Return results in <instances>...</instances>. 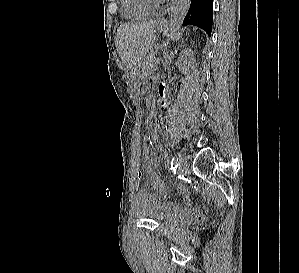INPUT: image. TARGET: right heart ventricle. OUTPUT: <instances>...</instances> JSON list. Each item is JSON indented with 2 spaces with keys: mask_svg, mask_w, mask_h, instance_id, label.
<instances>
[{
  "mask_svg": "<svg viewBox=\"0 0 299 273\" xmlns=\"http://www.w3.org/2000/svg\"><path fill=\"white\" fill-rule=\"evenodd\" d=\"M121 15L131 21L148 18L151 11L140 0H121Z\"/></svg>",
  "mask_w": 299,
  "mask_h": 273,
  "instance_id": "right-heart-ventricle-1",
  "label": "right heart ventricle"
}]
</instances>
